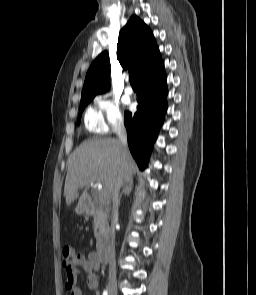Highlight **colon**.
<instances>
[{
  "label": "colon",
  "instance_id": "5ec220e1",
  "mask_svg": "<svg viewBox=\"0 0 256 295\" xmlns=\"http://www.w3.org/2000/svg\"><path fill=\"white\" fill-rule=\"evenodd\" d=\"M82 255L71 246L62 249V266L65 271H73L82 262Z\"/></svg>",
  "mask_w": 256,
  "mask_h": 295
}]
</instances>
